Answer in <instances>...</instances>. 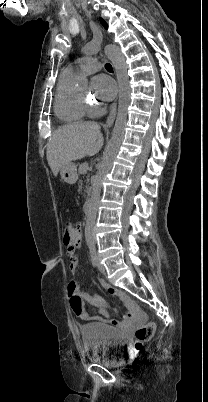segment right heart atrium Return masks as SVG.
<instances>
[{
    "mask_svg": "<svg viewBox=\"0 0 208 402\" xmlns=\"http://www.w3.org/2000/svg\"><path fill=\"white\" fill-rule=\"evenodd\" d=\"M87 111L90 117H96L97 115H99L101 109L97 106H87Z\"/></svg>",
    "mask_w": 208,
    "mask_h": 402,
    "instance_id": "1",
    "label": "right heart atrium"
}]
</instances>
